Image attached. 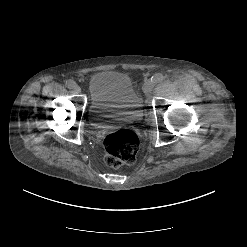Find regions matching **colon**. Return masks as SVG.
<instances>
[{
    "mask_svg": "<svg viewBox=\"0 0 247 247\" xmlns=\"http://www.w3.org/2000/svg\"><path fill=\"white\" fill-rule=\"evenodd\" d=\"M105 163L109 167L118 168L135 161L139 138L130 129H121L107 134L103 140Z\"/></svg>",
    "mask_w": 247,
    "mask_h": 247,
    "instance_id": "colon-1",
    "label": "colon"
}]
</instances>
